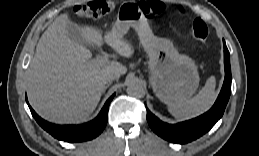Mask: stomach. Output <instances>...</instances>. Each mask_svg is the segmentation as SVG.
<instances>
[{
  "label": "stomach",
  "instance_id": "1",
  "mask_svg": "<svg viewBox=\"0 0 259 156\" xmlns=\"http://www.w3.org/2000/svg\"><path fill=\"white\" fill-rule=\"evenodd\" d=\"M130 27L138 31L148 54L150 83L156 96L167 105L188 100L200 81L195 62L179 54L170 40L154 36L139 8L126 3L119 10L112 31L124 35Z\"/></svg>",
  "mask_w": 259,
  "mask_h": 156
}]
</instances>
